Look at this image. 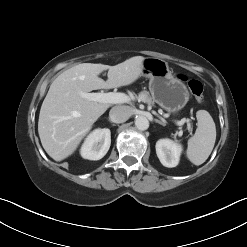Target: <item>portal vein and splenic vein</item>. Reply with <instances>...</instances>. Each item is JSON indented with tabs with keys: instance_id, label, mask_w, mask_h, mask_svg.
Segmentation results:
<instances>
[{
	"instance_id": "1",
	"label": "portal vein and splenic vein",
	"mask_w": 247,
	"mask_h": 247,
	"mask_svg": "<svg viewBox=\"0 0 247 247\" xmlns=\"http://www.w3.org/2000/svg\"><path fill=\"white\" fill-rule=\"evenodd\" d=\"M81 97L87 99L89 101H95L99 103H111V104H118V103H125L129 101V97L124 93H86L81 92ZM185 121H179L178 125H182ZM188 129H191L190 124H188ZM182 135V131L179 132Z\"/></svg>"
}]
</instances>
